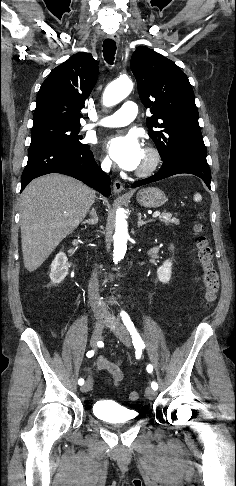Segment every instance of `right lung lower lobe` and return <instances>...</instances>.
<instances>
[{
  "label": "right lung lower lobe",
  "instance_id": "right-lung-lower-lobe-1",
  "mask_svg": "<svg viewBox=\"0 0 236 486\" xmlns=\"http://www.w3.org/2000/svg\"><path fill=\"white\" fill-rule=\"evenodd\" d=\"M53 172L72 176L103 195H110V177L98 167L89 146H30L28 162L21 176V191L34 178Z\"/></svg>",
  "mask_w": 236,
  "mask_h": 486
}]
</instances>
